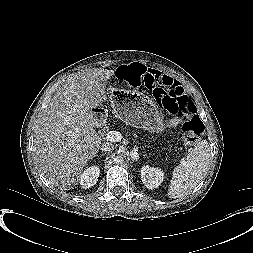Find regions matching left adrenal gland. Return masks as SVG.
<instances>
[{"label": "left adrenal gland", "mask_w": 253, "mask_h": 253, "mask_svg": "<svg viewBox=\"0 0 253 253\" xmlns=\"http://www.w3.org/2000/svg\"><path fill=\"white\" fill-rule=\"evenodd\" d=\"M131 160H132V161H135V159H134L133 157H131Z\"/></svg>", "instance_id": "obj_1"}]
</instances>
